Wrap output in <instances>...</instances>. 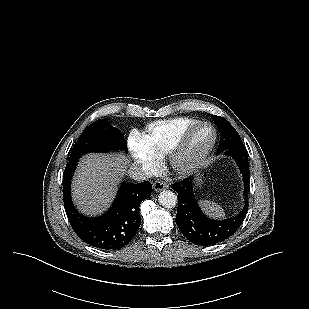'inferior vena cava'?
<instances>
[{
    "label": "inferior vena cava",
    "mask_w": 309,
    "mask_h": 309,
    "mask_svg": "<svg viewBox=\"0 0 309 309\" xmlns=\"http://www.w3.org/2000/svg\"><path fill=\"white\" fill-rule=\"evenodd\" d=\"M129 176L137 181H144L150 177L148 171L139 166H132L129 170Z\"/></svg>",
    "instance_id": "inferior-vena-cava-1"
}]
</instances>
